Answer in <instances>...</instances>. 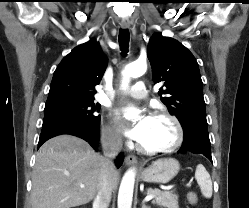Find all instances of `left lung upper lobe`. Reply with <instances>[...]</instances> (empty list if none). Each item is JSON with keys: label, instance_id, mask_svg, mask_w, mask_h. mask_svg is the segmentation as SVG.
<instances>
[{"label": "left lung upper lobe", "instance_id": "left-lung-upper-lobe-1", "mask_svg": "<svg viewBox=\"0 0 249 208\" xmlns=\"http://www.w3.org/2000/svg\"><path fill=\"white\" fill-rule=\"evenodd\" d=\"M154 83L161 101L180 121L183 131L192 125L207 126L203 83L192 53L177 40L154 34L147 47Z\"/></svg>", "mask_w": 249, "mask_h": 208}]
</instances>
